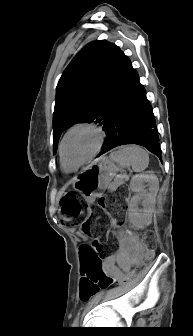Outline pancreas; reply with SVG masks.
I'll return each mask as SVG.
<instances>
[{"label":"pancreas","mask_w":193,"mask_h":336,"mask_svg":"<svg viewBox=\"0 0 193 336\" xmlns=\"http://www.w3.org/2000/svg\"><path fill=\"white\" fill-rule=\"evenodd\" d=\"M124 183V178L122 176H118L114 179V182L111 183L109 187V192L113 193L116 190V187L120 186Z\"/></svg>","instance_id":"1"}]
</instances>
